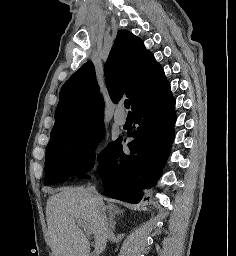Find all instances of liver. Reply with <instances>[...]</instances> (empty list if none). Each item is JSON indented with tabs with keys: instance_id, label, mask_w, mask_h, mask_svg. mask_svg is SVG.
<instances>
[{
	"instance_id": "6515ba94",
	"label": "liver",
	"mask_w": 236,
	"mask_h": 256,
	"mask_svg": "<svg viewBox=\"0 0 236 256\" xmlns=\"http://www.w3.org/2000/svg\"><path fill=\"white\" fill-rule=\"evenodd\" d=\"M58 192L49 196L46 204L52 256H91L89 240L77 228L76 218L84 220L94 234L95 254L104 252L109 236L107 214L113 206H105L103 198L92 196L88 188H59Z\"/></svg>"
}]
</instances>
